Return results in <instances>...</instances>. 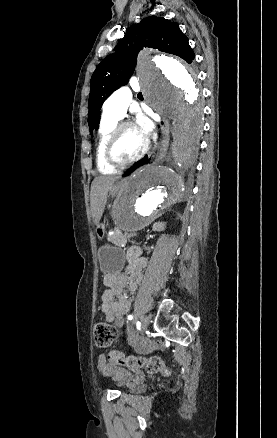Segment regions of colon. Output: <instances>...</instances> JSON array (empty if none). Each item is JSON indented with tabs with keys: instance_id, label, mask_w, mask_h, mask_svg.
<instances>
[{
	"instance_id": "5ec220e1",
	"label": "colon",
	"mask_w": 277,
	"mask_h": 438,
	"mask_svg": "<svg viewBox=\"0 0 277 438\" xmlns=\"http://www.w3.org/2000/svg\"><path fill=\"white\" fill-rule=\"evenodd\" d=\"M117 337V330L112 325L105 321H98L93 326L94 345L100 351L108 350ZM107 361L110 363L126 366L131 369L146 367L149 373H160L163 376H171L172 369L165 365V363L155 356L149 358L126 356L120 352H113L108 354Z\"/></svg>"
}]
</instances>
